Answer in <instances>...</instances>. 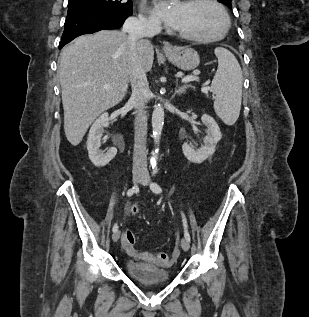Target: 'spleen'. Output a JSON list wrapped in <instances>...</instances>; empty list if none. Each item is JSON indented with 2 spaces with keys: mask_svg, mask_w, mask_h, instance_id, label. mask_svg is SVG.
Here are the masks:
<instances>
[{
  "mask_svg": "<svg viewBox=\"0 0 309 317\" xmlns=\"http://www.w3.org/2000/svg\"><path fill=\"white\" fill-rule=\"evenodd\" d=\"M218 68L212 80L211 90L215 95L214 110L227 125H233L240 114L243 75L235 56L223 47L214 51Z\"/></svg>",
  "mask_w": 309,
  "mask_h": 317,
  "instance_id": "3e777b00",
  "label": "spleen"
}]
</instances>
